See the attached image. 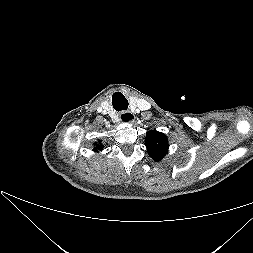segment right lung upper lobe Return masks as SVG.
I'll use <instances>...</instances> for the list:
<instances>
[{"label": "right lung upper lobe", "mask_w": 253, "mask_h": 253, "mask_svg": "<svg viewBox=\"0 0 253 253\" xmlns=\"http://www.w3.org/2000/svg\"><path fill=\"white\" fill-rule=\"evenodd\" d=\"M101 146H102L101 144H100V145H99V144H96V147L94 148V150H97V149H98V150H102V147H101Z\"/></svg>", "instance_id": "right-lung-upper-lobe-1"}]
</instances>
